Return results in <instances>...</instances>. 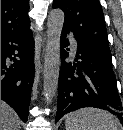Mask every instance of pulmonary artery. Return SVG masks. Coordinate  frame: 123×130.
<instances>
[{
    "instance_id": "e3ab8cb5",
    "label": "pulmonary artery",
    "mask_w": 123,
    "mask_h": 130,
    "mask_svg": "<svg viewBox=\"0 0 123 130\" xmlns=\"http://www.w3.org/2000/svg\"><path fill=\"white\" fill-rule=\"evenodd\" d=\"M71 47L74 51L77 50V42L73 38H71Z\"/></svg>"
}]
</instances>
